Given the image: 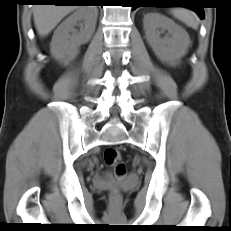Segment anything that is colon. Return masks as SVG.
<instances>
[{
    "mask_svg": "<svg viewBox=\"0 0 231 231\" xmlns=\"http://www.w3.org/2000/svg\"><path fill=\"white\" fill-rule=\"evenodd\" d=\"M104 160L107 165L116 168L119 174L124 173L125 168L123 165L122 156L117 149L112 147L106 148L104 151ZM112 198L116 200L118 198V193L113 192Z\"/></svg>",
    "mask_w": 231,
    "mask_h": 231,
    "instance_id": "obj_1",
    "label": "colon"
}]
</instances>
